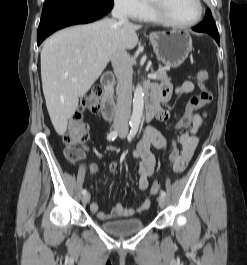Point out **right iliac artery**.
<instances>
[{
	"label": "right iliac artery",
	"instance_id": "right-iliac-artery-1",
	"mask_svg": "<svg viewBox=\"0 0 247 265\" xmlns=\"http://www.w3.org/2000/svg\"><path fill=\"white\" fill-rule=\"evenodd\" d=\"M130 126H132V125L130 124ZM118 134H119L118 130H113L107 135V139L109 141H113V140H115L117 138ZM86 193H87V190L83 189L82 190V194L85 195Z\"/></svg>",
	"mask_w": 247,
	"mask_h": 265
}]
</instances>
